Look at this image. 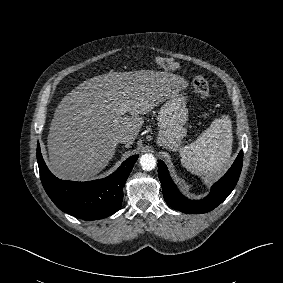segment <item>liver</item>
<instances>
[{
  "label": "liver",
  "mask_w": 283,
  "mask_h": 283,
  "mask_svg": "<svg viewBox=\"0 0 283 283\" xmlns=\"http://www.w3.org/2000/svg\"><path fill=\"white\" fill-rule=\"evenodd\" d=\"M186 87L182 77L153 70L108 72L85 80L55 110L48 134L50 171L75 181L97 175L113 158L117 136H125L130 147L144 123L140 115Z\"/></svg>",
  "instance_id": "obj_1"
}]
</instances>
